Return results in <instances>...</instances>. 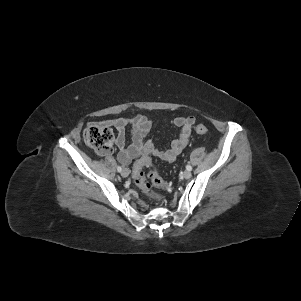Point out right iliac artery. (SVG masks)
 <instances>
[{
    "label": "right iliac artery",
    "mask_w": 301,
    "mask_h": 301,
    "mask_svg": "<svg viewBox=\"0 0 301 301\" xmlns=\"http://www.w3.org/2000/svg\"><path fill=\"white\" fill-rule=\"evenodd\" d=\"M117 170H118V172H121V171H122V167H121V166H118V167H117Z\"/></svg>",
    "instance_id": "82829eb1"
}]
</instances>
